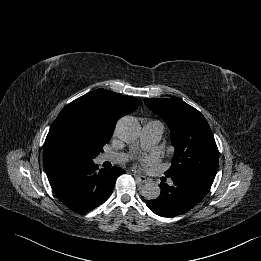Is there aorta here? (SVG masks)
Masks as SVG:
<instances>
[{"label":"aorta","mask_w":261,"mask_h":261,"mask_svg":"<svg viewBox=\"0 0 261 261\" xmlns=\"http://www.w3.org/2000/svg\"><path fill=\"white\" fill-rule=\"evenodd\" d=\"M141 126L138 120L132 116L122 117L116 126L117 136L126 143H132L138 139ZM142 196L147 200H155L160 195V188L154 182H146L142 186Z\"/></svg>","instance_id":"762f6f07"}]
</instances>
